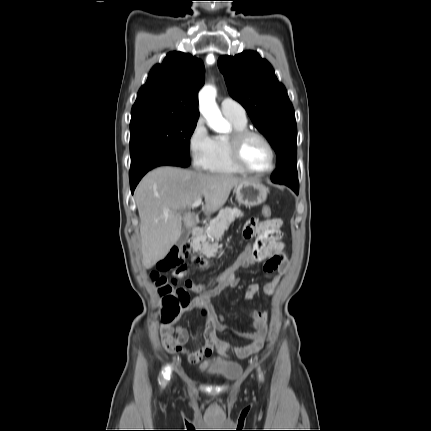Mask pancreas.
Instances as JSON below:
<instances>
[{"label":"pancreas","instance_id":"1","mask_svg":"<svg viewBox=\"0 0 431 431\" xmlns=\"http://www.w3.org/2000/svg\"><path fill=\"white\" fill-rule=\"evenodd\" d=\"M243 212L236 208L226 207L219 211V214L212 220L207 228H205L206 240H202L199 245V250L207 257H212L217 252L218 247L211 244L214 240L219 241L224 235L225 230L235 220V218H241Z\"/></svg>","mask_w":431,"mask_h":431}]
</instances>
